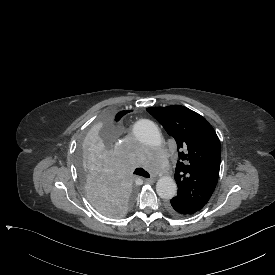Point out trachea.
Returning <instances> with one entry per match:
<instances>
[{"instance_id":"obj_1","label":"trachea","mask_w":275,"mask_h":275,"mask_svg":"<svg viewBox=\"0 0 275 275\" xmlns=\"http://www.w3.org/2000/svg\"><path fill=\"white\" fill-rule=\"evenodd\" d=\"M134 174L149 178V173L145 171L143 168H137L134 171Z\"/></svg>"}]
</instances>
